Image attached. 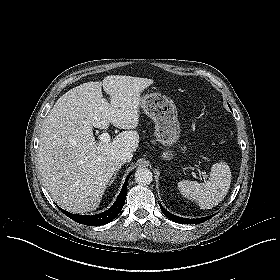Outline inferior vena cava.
<instances>
[{
    "label": "inferior vena cava",
    "instance_id": "1",
    "mask_svg": "<svg viewBox=\"0 0 280 280\" xmlns=\"http://www.w3.org/2000/svg\"><path fill=\"white\" fill-rule=\"evenodd\" d=\"M133 154L130 151H123L119 155L120 163L130 162L132 160Z\"/></svg>",
    "mask_w": 280,
    "mask_h": 280
}]
</instances>
